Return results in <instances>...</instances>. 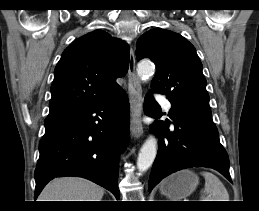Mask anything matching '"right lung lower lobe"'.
Segmentation results:
<instances>
[{
  "label": "right lung lower lobe",
  "mask_w": 259,
  "mask_h": 211,
  "mask_svg": "<svg viewBox=\"0 0 259 211\" xmlns=\"http://www.w3.org/2000/svg\"><path fill=\"white\" fill-rule=\"evenodd\" d=\"M129 100L122 91L90 107L47 116L35 169L36 199L53 178H87L119 199L118 156L129 135Z\"/></svg>",
  "instance_id": "98d812e1"
}]
</instances>
